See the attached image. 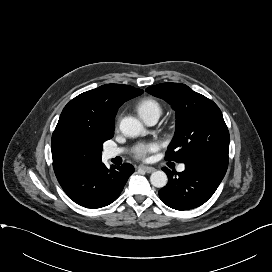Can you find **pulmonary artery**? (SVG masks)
Segmentation results:
<instances>
[{
  "label": "pulmonary artery",
  "instance_id": "pulmonary-artery-1",
  "mask_svg": "<svg viewBox=\"0 0 272 272\" xmlns=\"http://www.w3.org/2000/svg\"><path fill=\"white\" fill-rule=\"evenodd\" d=\"M158 118H159L158 116L153 115V116H150V117L143 119V120L148 125H154L157 122ZM123 152H124L123 148L110 147V148L105 149V151L103 152V156L105 159H111V158L121 155ZM184 169H185L184 164H181L178 166L179 172L184 171Z\"/></svg>",
  "mask_w": 272,
  "mask_h": 272
}]
</instances>
